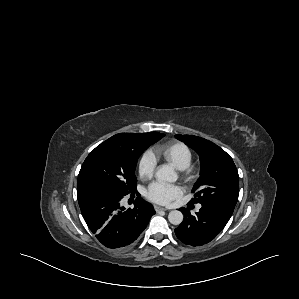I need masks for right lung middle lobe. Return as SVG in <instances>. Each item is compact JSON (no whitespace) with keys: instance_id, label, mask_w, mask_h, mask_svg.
Instances as JSON below:
<instances>
[{"instance_id":"obj_1","label":"right lung middle lobe","mask_w":299,"mask_h":299,"mask_svg":"<svg viewBox=\"0 0 299 299\" xmlns=\"http://www.w3.org/2000/svg\"><path fill=\"white\" fill-rule=\"evenodd\" d=\"M164 137L158 132L142 134L133 148L120 145L112 138L98 145L85 159L77 181V188L93 184L119 194L136 192L135 168L141 153L151 144Z\"/></svg>"}]
</instances>
